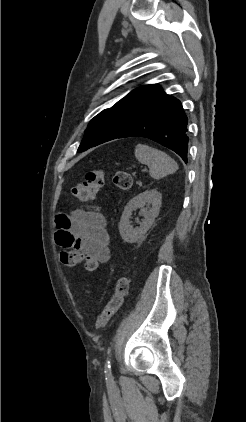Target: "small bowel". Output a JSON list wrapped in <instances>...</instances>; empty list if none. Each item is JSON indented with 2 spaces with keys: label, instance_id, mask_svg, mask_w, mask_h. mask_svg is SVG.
I'll return each mask as SVG.
<instances>
[{
  "label": "small bowel",
  "instance_id": "small-bowel-1",
  "mask_svg": "<svg viewBox=\"0 0 246 422\" xmlns=\"http://www.w3.org/2000/svg\"><path fill=\"white\" fill-rule=\"evenodd\" d=\"M55 241L64 250H77L98 263L109 261V235L99 208L78 209L70 216L56 218Z\"/></svg>",
  "mask_w": 246,
  "mask_h": 422
}]
</instances>
